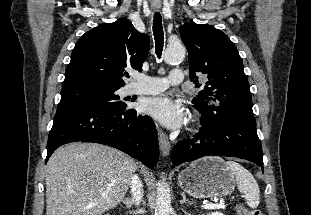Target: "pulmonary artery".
<instances>
[{"mask_svg": "<svg viewBox=\"0 0 311 215\" xmlns=\"http://www.w3.org/2000/svg\"><path fill=\"white\" fill-rule=\"evenodd\" d=\"M136 82L128 88L130 94H158L170 85H178L184 80V72L180 68L171 70L167 78L152 77L147 75L135 76Z\"/></svg>", "mask_w": 311, "mask_h": 215, "instance_id": "obj_1", "label": "pulmonary artery"}]
</instances>
